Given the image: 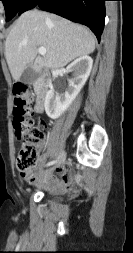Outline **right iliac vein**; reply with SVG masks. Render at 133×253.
Wrapping results in <instances>:
<instances>
[{"instance_id": "right-iliac-vein-1", "label": "right iliac vein", "mask_w": 133, "mask_h": 253, "mask_svg": "<svg viewBox=\"0 0 133 253\" xmlns=\"http://www.w3.org/2000/svg\"><path fill=\"white\" fill-rule=\"evenodd\" d=\"M65 159H66V153L64 151H62L57 159L55 166L52 167L51 169H49L47 171V173L51 172L55 167L62 165L64 163Z\"/></svg>"}]
</instances>
